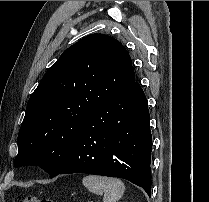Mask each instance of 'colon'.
I'll return each instance as SVG.
<instances>
[{
    "label": "colon",
    "instance_id": "5ec220e1",
    "mask_svg": "<svg viewBox=\"0 0 209 202\" xmlns=\"http://www.w3.org/2000/svg\"><path fill=\"white\" fill-rule=\"evenodd\" d=\"M22 202H54L49 198H38L34 196L26 197Z\"/></svg>",
    "mask_w": 209,
    "mask_h": 202
}]
</instances>
